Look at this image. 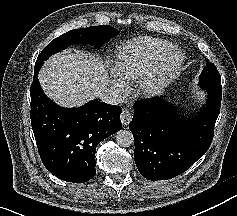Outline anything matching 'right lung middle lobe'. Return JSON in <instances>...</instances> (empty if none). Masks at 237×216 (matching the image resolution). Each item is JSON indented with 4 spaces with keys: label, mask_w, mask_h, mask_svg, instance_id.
<instances>
[{
    "label": "right lung middle lobe",
    "mask_w": 237,
    "mask_h": 216,
    "mask_svg": "<svg viewBox=\"0 0 237 216\" xmlns=\"http://www.w3.org/2000/svg\"><path fill=\"white\" fill-rule=\"evenodd\" d=\"M118 33V30L109 25L91 26L68 31L55 38L41 51L36 60L34 71L38 72L45 60L69 45L90 44L98 48Z\"/></svg>",
    "instance_id": "obj_1"
}]
</instances>
